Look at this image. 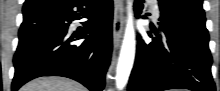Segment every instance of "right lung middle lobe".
<instances>
[{
    "mask_svg": "<svg viewBox=\"0 0 220 91\" xmlns=\"http://www.w3.org/2000/svg\"><path fill=\"white\" fill-rule=\"evenodd\" d=\"M38 1H35V0H30L28 1L27 3L24 4V6H33V5H36Z\"/></svg>",
    "mask_w": 220,
    "mask_h": 91,
    "instance_id": "obj_1",
    "label": "right lung middle lobe"
}]
</instances>
